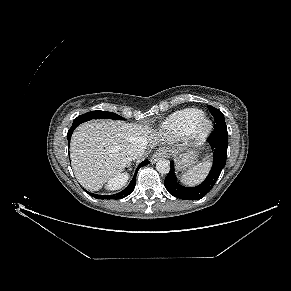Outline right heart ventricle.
Masks as SVG:
<instances>
[{"label": "right heart ventricle", "instance_id": "1", "mask_svg": "<svg viewBox=\"0 0 291 291\" xmlns=\"http://www.w3.org/2000/svg\"><path fill=\"white\" fill-rule=\"evenodd\" d=\"M204 118V112L188 108L171 114L160 126L162 134L168 137H183L192 132L196 124Z\"/></svg>", "mask_w": 291, "mask_h": 291}]
</instances>
